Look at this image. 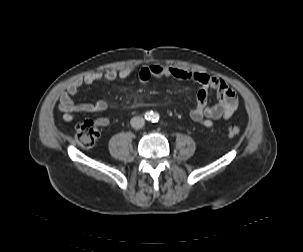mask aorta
I'll use <instances>...</instances> for the list:
<instances>
[{"label": "aorta", "mask_w": 303, "mask_h": 252, "mask_svg": "<svg viewBox=\"0 0 303 252\" xmlns=\"http://www.w3.org/2000/svg\"><path fill=\"white\" fill-rule=\"evenodd\" d=\"M155 114H151L150 119L154 120L155 119Z\"/></svg>", "instance_id": "1"}]
</instances>
